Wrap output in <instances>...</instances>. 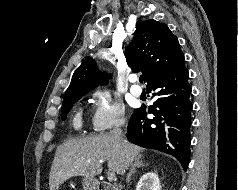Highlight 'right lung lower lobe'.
Masks as SVG:
<instances>
[{"mask_svg": "<svg viewBox=\"0 0 238 190\" xmlns=\"http://www.w3.org/2000/svg\"><path fill=\"white\" fill-rule=\"evenodd\" d=\"M183 59L173 70L147 85L155 91L156 100L149 110L141 106L134 110L128 128V141L157 149L176 157L184 170L190 161V128L192 103L188 70ZM152 113L153 119H146Z\"/></svg>", "mask_w": 238, "mask_h": 190, "instance_id": "1", "label": "right lung lower lobe"}]
</instances>
